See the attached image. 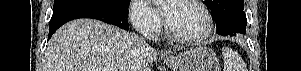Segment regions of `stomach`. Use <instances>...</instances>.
I'll return each mask as SVG.
<instances>
[{"instance_id": "stomach-1", "label": "stomach", "mask_w": 301, "mask_h": 71, "mask_svg": "<svg viewBox=\"0 0 301 71\" xmlns=\"http://www.w3.org/2000/svg\"><path fill=\"white\" fill-rule=\"evenodd\" d=\"M171 71H220L216 54L206 47H196L166 60Z\"/></svg>"}]
</instances>
